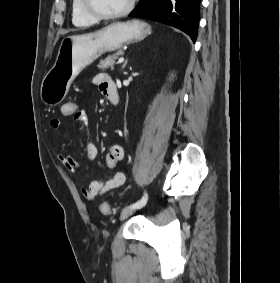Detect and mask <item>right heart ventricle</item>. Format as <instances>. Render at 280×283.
Segmentation results:
<instances>
[{
	"label": "right heart ventricle",
	"instance_id": "1",
	"mask_svg": "<svg viewBox=\"0 0 280 283\" xmlns=\"http://www.w3.org/2000/svg\"><path fill=\"white\" fill-rule=\"evenodd\" d=\"M72 22L75 26L86 27L97 22L83 9L82 0H72Z\"/></svg>",
	"mask_w": 280,
	"mask_h": 283
}]
</instances>
